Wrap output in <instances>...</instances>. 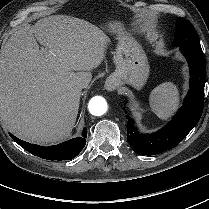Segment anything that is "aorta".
Instances as JSON below:
<instances>
[{
  "label": "aorta",
  "mask_w": 209,
  "mask_h": 209,
  "mask_svg": "<svg viewBox=\"0 0 209 209\" xmlns=\"http://www.w3.org/2000/svg\"><path fill=\"white\" fill-rule=\"evenodd\" d=\"M108 105L106 100L101 96H95L88 103V110L94 116H102L106 113Z\"/></svg>",
  "instance_id": "aorta-1"
}]
</instances>
